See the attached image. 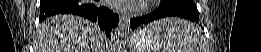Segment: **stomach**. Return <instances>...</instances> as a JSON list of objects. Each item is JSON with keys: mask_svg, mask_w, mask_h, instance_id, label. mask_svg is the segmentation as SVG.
I'll list each match as a JSON object with an SVG mask.
<instances>
[{"mask_svg": "<svg viewBox=\"0 0 261 52\" xmlns=\"http://www.w3.org/2000/svg\"><path fill=\"white\" fill-rule=\"evenodd\" d=\"M133 52H157L162 42L157 32L149 28H140L129 39Z\"/></svg>", "mask_w": 261, "mask_h": 52, "instance_id": "obj_1", "label": "stomach"}]
</instances>
